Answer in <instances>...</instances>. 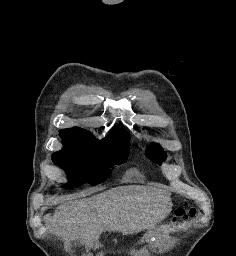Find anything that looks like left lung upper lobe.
Wrapping results in <instances>:
<instances>
[{
	"mask_svg": "<svg viewBox=\"0 0 236 256\" xmlns=\"http://www.w3.org/2000/svg\"><path fill=\"white\" fill-rule=\"evenodd\" d=\"M147 157L159 165L165 159V153L163 152L162 148L155 143H151L145 151Z\"/></svg>",
	"mask_w": 236,
	"mask_h": 256,
	"instance_id": "5c2ea615",
	"label": "left lung upper lobe"
}]
</instances>
